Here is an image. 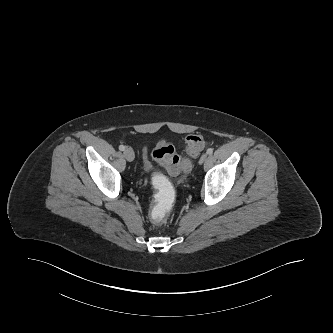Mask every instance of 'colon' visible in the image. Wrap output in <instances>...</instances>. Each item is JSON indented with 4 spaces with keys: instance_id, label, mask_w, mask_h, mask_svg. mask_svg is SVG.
<instances>
[{
    "instance_id": "colon-1",
    "label": "colon",
    "mask_w": 333,
    "mask_h": 333,
    "mask_svg": "<svg viewBox=\"0 0 333 333\" xmlns=\"http://www.w3.org/2000/svg\"><path fill=\"white\" fill-rule=\"evenodd\" d=\"M204 140L201 135L193 134L186 138V156H179L173 144L166 140L157 143L152 151V157L161 164L167 172L176 176L181 172H188L192 168V160L204 148ZM151 181L155 187L152 210L149 219L154 224H160L169 213L175 201V191L171 178L160 168H155L150 173Z\"/></svg>"
}]
</instances>
